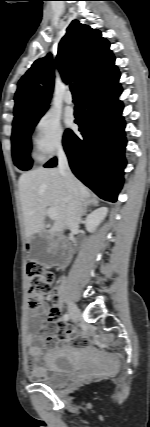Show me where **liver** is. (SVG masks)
I'll list each match as a JSON object with an SVG mask.
<instances>
[{
	"mask_svg": "<svg viewBox=\"0 0 150 427\" xmlns=\"http://www.w3.org/2000/svg\"><path fill=\"white\" fill-rule=\"evenodd\" d=\"M75 185L83 200L91 197L89 189L76 178ZM19 194L27 239L45 230L44 219L50 207L57 210V218L49 232L64 230L68 190L59 169L38 168L23 173L19 178Z\"/></svg>",
	"mask_w": 150,
	"mask_h": 427,
	"instance_id": "liver-1",
	"label": "liver"
}]
</instances>
